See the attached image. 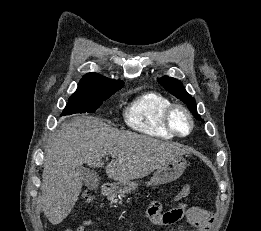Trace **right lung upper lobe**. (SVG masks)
Instances as JSON below:
<instances>
[{"mask_svg": "<svg viewBox=\"0 0 261 231\" xmlns=\"http://www.w3.org/2000/svg\"><path fill=\"white\" fill-rule=\"evenodd\" d=\"M121 80H114L103 77L99 74L88 73L79 82L77 90L74 94H103L116 92L123 87Z\"/></svg>", "mask_w": 261, "mask_h": 231, "instance_id": "cb5924a9", "label": "right lung upper lobe"}]
</instances>
